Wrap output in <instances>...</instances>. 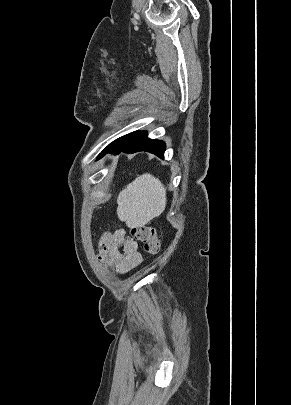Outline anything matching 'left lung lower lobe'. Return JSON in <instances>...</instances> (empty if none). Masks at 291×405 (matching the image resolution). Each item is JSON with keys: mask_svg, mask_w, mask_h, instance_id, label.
Masks as SVG:
<instances>
[{"mask_svg": "<svg viewBox=\"0 0 291 405\" xmlns=\"http://www.w3.org/2000/svg\"><path fill=\"white\" fill-rule=\"evenodd\" d=\"M137 151H147L164 158L165 144L162 141L149 139L145 131H135L108 145L100 157L106 153L119 154L120 152L134 153Z\"/></svg>", "mask_w": 291, "mask_h": 405, "instance_id": "0a47b994", "label": "left lung lower lobe"}]
</instances>
